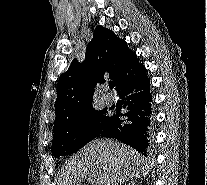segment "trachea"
I'll return each instance as SVG.
<instances>
[{
    "instance_id": "trachea-1",
    "label": "trachea",
    "mask_w": 207,
    "mask_h": 185,
    "mask_svg": "<svg viewBox=\"0 0 207 185\" xmlns=\"http://www.w3.org/2000/svg\"><path fill=\"white\" fill-rule=\"evenodd\" d=\"M109 88H114V83H109Z\"/></svg>"
}]
</instances>
